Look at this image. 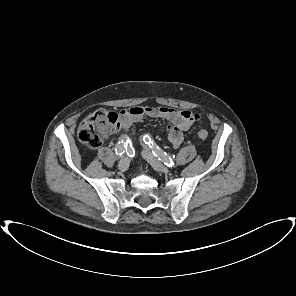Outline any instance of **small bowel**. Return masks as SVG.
Wrapping results in <instances>:
<instances>
[{"label": "small bowel", "mask_w": 296, "mask_h": 296, "mask_svg": "<svg viewBox=\"0 0 296 296\" xmlns=\"http://www.w3.org/2000/svg\"><path fill=\"white\" fill-rule=\"evenodd\" d=\"M144 118H162L169 121L166 132L174 148L182 143L184 132L197 121L195 114L190 111L170 107L135 106L120 112L119 125L127 133L135 122Z\"/></svg>", "instance_id": "small-bowel-1"}]
</instances>
